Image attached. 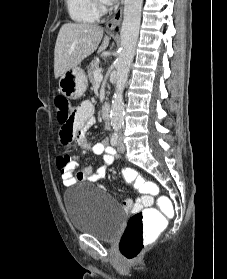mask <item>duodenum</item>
<instances>
[{"mask_svg":"<svg viewBox=\"0 0 227 279\" xmlns=\"http://www.w3.org/2000/svg\"><path fill=\"white\" fill-rule=\"evenodd\" d=\"M111 113V107L110 106H104L102 109V115L104 118L108 119L110 117Z\"/></svg>","mask_w":227,"mask_h":279,"instance_id":"1","label":"duodenum"}]
</instances>
